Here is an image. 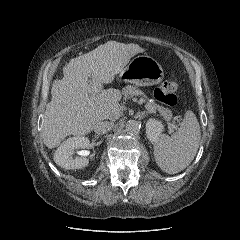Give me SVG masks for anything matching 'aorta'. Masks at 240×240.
<instances>
[{
    "instance_id": "obj_1",
    "label": "aorta",
    "mask_w": 240,
    "mask_h": 240,
    "mask_svg": "<svg viewBox=\"0 0 240 240\" xmlns=\"http://www.w3.org/2000/svg\"><path fill=\"white\" fill-rule=\"evenodd\" d=\"M140 130V123L136 120H128L126 122V132L130 135H135Z\"/></svg>"
}]
</instances>
